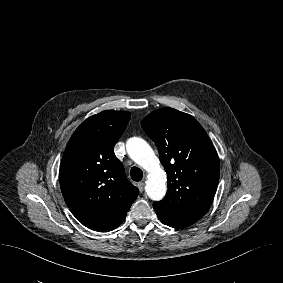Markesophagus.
Instances as JSON below:
<instances>
[{
	"mask_svg": "<svg viewBox=\"0 0 283 283\" xmlns=\"http://www.w3.org/2000/svg\"><path fill=\"white\" fill-rule=\"evenodd\" d=\"M144 186H145L144 182H139V183L137 184V187H138V189H139L140 192H143V191H144Z\"/></svg>",
	"mask_w": 283,
	"mask_h": 283,
	"instance_id": "obj_1",
	"label": "esophagus"
}]
</instances>
